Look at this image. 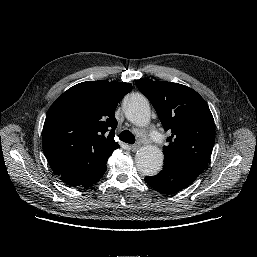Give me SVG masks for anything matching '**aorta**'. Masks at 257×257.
Instances as JSON below:
<instances>
[{"instance_id":"aorta-1","label":"aorta","mask_w":257,"mask_h":257,"mask_svg":"<svg viewBox=\"0 0 257 257\" xmlns=\"http://www.w3.org/2000/svg\"><path fill=\"white\" fill-rule=\"evenodd\" d=\"M125 117L137 126L150 123L151 108L148 100L141 94L134 93L123 101ZM162 151L153 145L142 146L135 155L138 170L146 176H155L163 165Z\"/></svg>"}]
</instances>
